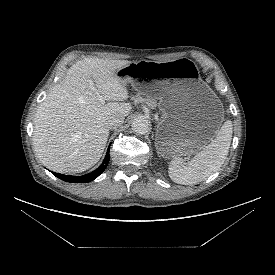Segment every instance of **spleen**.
<instances>
[{"label":"spleen","instance_id":"obj_1","mask_svg":"<svg viewBox=\"0 0 275 275\" xmlns=\"http://www.w3.org/2000/svg\"><path fill=\"white\" fill-rule=\"evenodd\" d=\"M232 140V122L227 120L216 138L198 152L190 161L175 157L169 165V176L173 182L192 185L204 181L224 163Z\"/></svg>","mask_w":275,"mask_h":275}]
</instances>
